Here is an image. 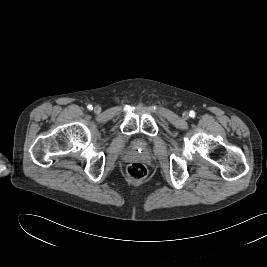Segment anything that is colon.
Masks as SVG:
<instances>
[{
	"label": "colon",
	"instance_id": "5ec220e1",
	"mask_svg": "<svg viewBox=\"0 0 267 267\" xmlns=\"http://www.w3.org/2000/svg\"><path fill=\"white\" fill-rule=\"evenodd\" d=\"M127 175L134 181H141L147 176V168L140 162L132 163L127 168Z\"/></svg>",
	"mask_w": 267,
	"mask_h": 267
}]
</instances>
